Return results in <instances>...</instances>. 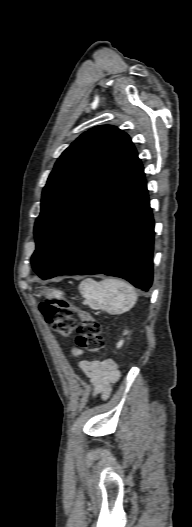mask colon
Instances as JSON below:
<instances>
[{
	"label": "colon",
	"instance_id": "1",
	"mask_svg": "<svg viewBox=\"0 0 192 527\" xmlns=\"http://www.w3.org/2000/svg\"><path fill=\"white\" fill-rule=\"evenodd\" d=\"M40 311L53 331L63 338L72 335L76 325L73 314L77 313V345L92 354L98 353L104 347L99 322L89 312L77 309L59 294L52 293L40 305Z\"/></svg>",
	"mask_w": 192,
	"mask_h": 527
}]
</instances>
